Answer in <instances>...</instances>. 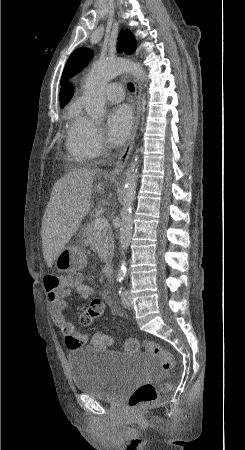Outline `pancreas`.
<instances>
[{"instance_id": "1", "label": "pancreas", "mask_w": 245, "mask_h": 450, "mask_svg": "<svg viewBox=\"0 0 245 450\" xmlns=\"http://www.w3.org/2000/svg\"><path fill=\"white\" fill-rule=\"evenodd\" d=\"M82 236L84 242L97 251L101 261L107 262L113 251V236L110 227L98 230L94 227V222L87 223L83 228Z\"/></svg>"}]
</instances>
